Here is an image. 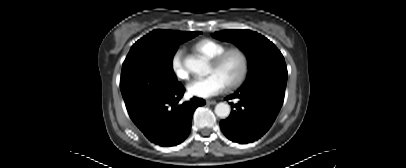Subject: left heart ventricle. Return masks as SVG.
<instances>
[{
    "label": "left heart ventricle",
    "instance_id": "obj_1",
    "mask_svg": "<svg viewBox=\"0 0 406 168\" xmlns=\"http://www.w3.org/2000/svg\"><path fill=\"white\" fill-rule=\"evenodd\" d=\"M240 71H241L240 57L237 54L233 53L227 56L219 67H213L210 64L207 74L208 75L215 74L226 86L237 79V77L240 74Z\"/></svg>",
    "mask_w": 406,
    "mask_h": 168
}]
</instances>
